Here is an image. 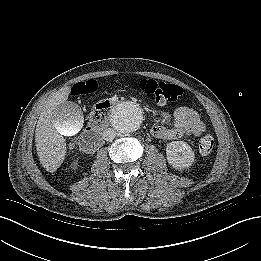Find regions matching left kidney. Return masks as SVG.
Segmentation results:
<instances>
[{"mask_svg":"<svg viewBox=\"0 0 261 261\" xmlns=\"http://www.w3.org/2000/svg\"><path fill=\"white\" fill-rule=\"evenodd\" d=\"M168 163L177 170L189 168L195 159L192 148L183 141H173L166 146Z\"/></svg>","mask_w":261,"mask_h":261,"instance_id":"1","label":"left kidney"}]
</instances>
